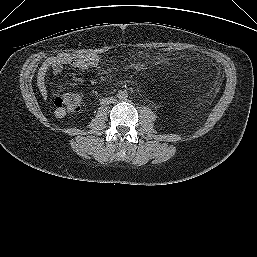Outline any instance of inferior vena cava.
<instances>
[{
	"label": "inferior vena cava",
	"mask_w": 257,
	"mask_h": 257,
	"mask_svg": "<svg viewBox=\"0 0 257 257\" xmlns=\"http://www.w3.org/2000/svg\"><path fill=\"white\" fill-rule=\"evenodd\" d=\"M106 101H107V103H111L113 101V99L112 98H108Z\"/></svg>",
	"instance_id": "602c4592"
}]
</instances>
